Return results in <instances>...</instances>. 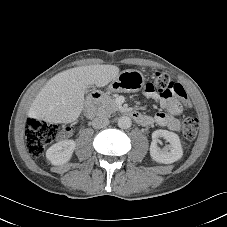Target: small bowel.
<instances>
[{
    "mask_svg": "<svg viewBox=\"0 0 227 227\" xmlns=\"http://www.w3.org/2000/svg\"><path fill=\"white\" fill-rule=\"evenodd\" d=\"M148 98L155 99L159 102L161 108L166 112H158L154 116L145 115V121L142 125L151 126L157 124L166 127L171 131L180 130V121L178 116L182 113L183 108L179 100L172 94L161 96L156 93L145 92Z\"/></svg>",
    "mask_w": 227,
    "mask_h": 227,
    "instance_id": "small-bowel-1",
    "label": "small bowel"
}]
</instances>
